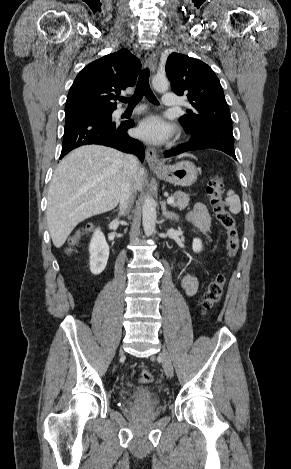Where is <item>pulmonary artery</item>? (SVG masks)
Here are the masks:
<instances>
[{
  "mask_svg": "<svg viewBox=\"0 0 291 469\" xmlns=\"http://www.w3.org/2000/svg\"><path fill=\"white\" fill-rule=\"evenodd\" d=\"M162 104L164 107H174L178 104L177 96L174 93L166 92L162 97ZM136 112L141 111V108L135 110Z\"/></svg>",
  "mask_w": 291,
  "mask_h": 469,
  "instance_id": "e3ab8cb5",
  "label": "pulmonary artery"
}]
</instances>
